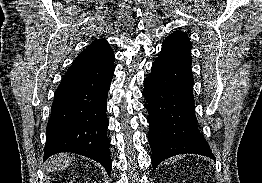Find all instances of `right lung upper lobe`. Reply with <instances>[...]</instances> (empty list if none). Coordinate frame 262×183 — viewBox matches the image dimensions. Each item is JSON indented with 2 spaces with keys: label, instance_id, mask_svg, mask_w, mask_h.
<instances>
[{
  "label": "right lung upper lobe",
  "instance_id": "obj_1",
  "mask_svg": "<svg viewBox=\"0 0 262 183\" xmlns=\"http://www.w3.org/2000/svg\"><path fill=\"white\" fill-rule=\"evenodd\" d=\"M114 58L108 42L96 40L77 56L71 67H104L113 64Z\"/></svg>",
  "mask_w": 262,
  "mask_h": 183
}]
</instances>
